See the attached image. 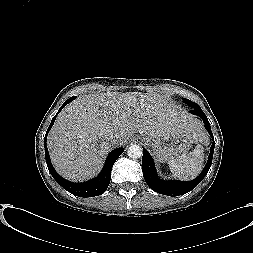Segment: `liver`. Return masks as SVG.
Wrapping results in <instances>:
<instances>
[{
	"label": "liver",
	"mask_w": 253,
	"mask_h": 253,
	"mask_svg": "<svg viewBox=\"0 0 253 253\" xmlns=\"http://www.w3.org/2000/svg\"><path fill=\"white\" fill-rule=\"evenodd\" d=\"M135 133L151 137L182 134L193 143L206 140L202 122L156 92H97L79 96L57 116L47 145L56 171L72 181L95 176L114 147ZM120 145V146H121Z\"/></svg>",
	"instance_id": "obj_1"
}]
</instances>
